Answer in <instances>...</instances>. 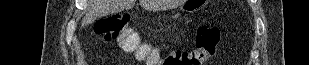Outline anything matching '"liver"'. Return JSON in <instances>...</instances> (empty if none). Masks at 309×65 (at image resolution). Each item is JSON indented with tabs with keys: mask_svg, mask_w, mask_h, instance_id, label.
I'll use <instances>...</instances> for the list:
<instances>
[{
	"mask_svg": "<svg viewBox=\"0 0 309 65\" xmlns=\"http://www.w3.org/2000/svg\"><path fill=\"white\" fill-rule=\"evenodd\" d=\"M143 8L159 10L167 6L166 2L157 0H140ZM133 6L132 0H87V11L82 19L81 27L92 24L97 18L129 9Z\"/></svg>",
	"mask_w": 309,
	"mask_h": 65,
	"instance_id": "liver-1",
	"label": "liver"
}]
</instances>
